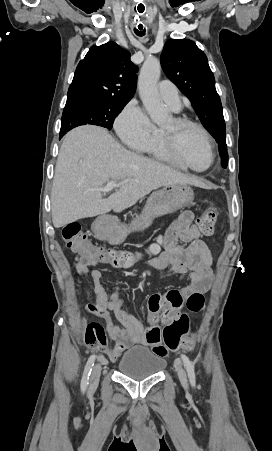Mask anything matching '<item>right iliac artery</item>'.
<instances>
[{
	"mask_svg": "<svg viewBox=\"0 0 272 451\" xmlns=\"http://www.w3.org/2000/svg\"><path fill=\"white\" fill-rule=\"evenodd\" d=\"M95 355H91L87 361V364L84 369L83 377L81 380V391L84 393L89 384V377L94 366Z\"/></svg>",
	"mask_w": 272,
	"mask_h": 451,
	"instance_id": "obj_1",
	"label": "right iliac artery"
}]
</instances>
